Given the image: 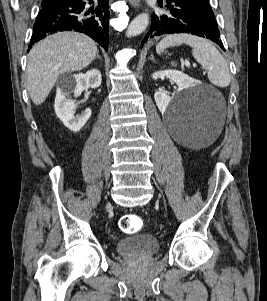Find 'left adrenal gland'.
Masks as SVG:
<instances>
[{
    "label": "left adrenal gland",
    "instance_id": "1",
    "mask_svg": "<svg viewBox=\"0 0 267 301\" xmlns=\"http://www.w3.org/2000/svg\"><path fill=\"white\" fill-rule=\"evenodd\" d=\"M149 60H152L154 63H156L153 55H151V57L149 58Z\"/></svg>",
    "mask_w": 267,
    "mask_h": 301
}]
</instances>
